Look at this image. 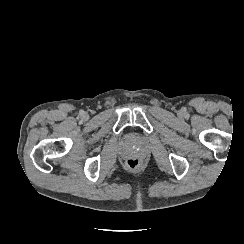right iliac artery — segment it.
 <instances>
[{"mask_svg": "<svg viewBox=\"0 0 244 244\" xmlns=\"http://www.w3.org/2000/svg\"><path fill=\"white\" fill-rule=\"evenodd\" d=\"M83 114H84V111H83V110H81V111H80V115H83Z\"/></svg>", "mask_w": 244, "mask_h": 244, "instance_id": "1", "label": "right iliac artery"}]
</instances>
